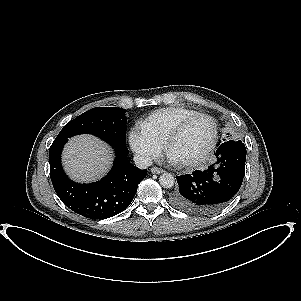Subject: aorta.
<instances>
[{"mask_svg": "<svg viewBox=\"0 0 301 301\" xmlns=\"http://www.w3.org/2000/svg\"><path fill=\"white\" fill-rule=\"evenodd\" d=\"M159 183L163 188H171L175 184V178L171 173H163L159 177Z\"/></svg>", "mask_w": 301, "mask_h": 301, "instance_id": "obj_1", "label": "aorta"}]
</instances>
